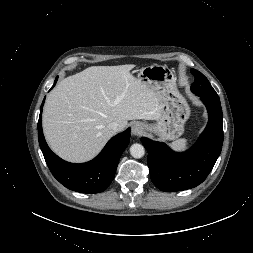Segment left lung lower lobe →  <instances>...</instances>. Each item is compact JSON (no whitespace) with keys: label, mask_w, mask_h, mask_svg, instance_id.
<instances>
[{"label":"left lung lower lobe","mask_w":253,"mask_h":253,"mask_svg":"<svg viewBox=\"0 0 253 253\" xmlns=\"http://www.w3.org/2000/svg\"><path fill=\"white\" fill-rule=\"evenodd\" d=\"M199 96V95H198ZM206 105L208 124L196 144L184 153L142 137L154 185L164 192L187 190L202 183L212 170L223 144V115L219 98L199 96Z\"/></svg>","instance_id":"1"}]
</instances>
